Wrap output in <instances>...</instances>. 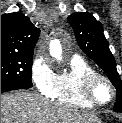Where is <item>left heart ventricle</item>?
I'll list each match as a JSON object with an SVG mask.
<instances>
[{
  "label": "left heart ventricle",
  "mask_w": 122,
  "mask_h": 123,
  "mask_svg": "<svg viewBox=\"0 0 122 123\" xmlns=\"http://www.w3.org/2000/svg\"><path fill=\"white\" fill-rule=\"evenodd\" d=\"M94 94L98 100L106 101L110 98L111 91L109 86L105 82L100 81L96 84L94 88Z\"/></svg>",
  "instance_id": "left-heart-ventricle-1"
}]
</instances>
